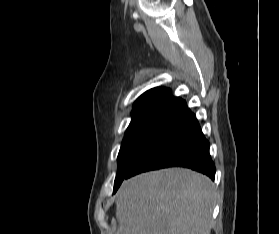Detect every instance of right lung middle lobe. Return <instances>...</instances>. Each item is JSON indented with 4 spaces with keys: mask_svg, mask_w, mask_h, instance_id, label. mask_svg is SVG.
Masks as SVG:
<instances>
[{
    "mask_svg": "<svg viewBox=\"0 0 279 234\" xmlns=\"http://www.w3.org/2000/svg\"><path fill=\"white\" fill-rule=\"evenodd\" d=\"M172 108H155L132 112V120L126 130L118 155V170L114 183V193L124 180L134 157L161 121Z\"/></svg>",
    "mask_w": 279,
    "mask_h": 234,
    "instance_id": "obj_1",
    "label": "right lung middle lobe"
}]
</instances>
